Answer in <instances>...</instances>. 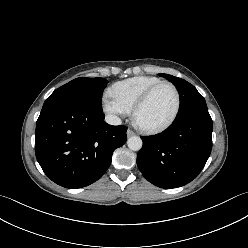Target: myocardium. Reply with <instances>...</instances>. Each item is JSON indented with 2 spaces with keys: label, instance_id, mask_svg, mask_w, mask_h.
Instances as JSON below:
<instances>
[{
  "label": "myocardium",
  "instance_id": "obj_1",
  "mask_svg": "<svg viewBox=\"0 0 248 248\" xmlns=\"http://www.w3.org/2000/svg\"><path fill=\"white\" fill-rule=\"evenodd\" d=\"M163 85H168L170 86L174 93H175V97H176V104H175V108L174 111L172 113V115L170 116V118L164 122L161 125L158 126H146L144 124H142L139 119H138V114L140 112V110L142 109V107L147 103V101L150 99V97L152 96V94L161 86ZM180 107H181V96L179 93L178 88L170 81H166V80H162L159 81L158 83L152 85L149 89H147L142 96L137 100V102L135 103L134 107H133V112H132V116H133V121L135 123V125L143 132L148 133V134H157V133H161L165 130H167L176 120L179 111H180Z\"/></svg>",
  "mask_w": 248,
  "mask_h": 248
}]
</instances>
